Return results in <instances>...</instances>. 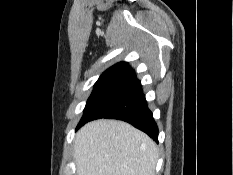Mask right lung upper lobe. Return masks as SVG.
<instances>
[{
    "instance_id": "right-lung-upper-lobe-1",
    "label": "right lung upper lobe",
    "mask_w": 233,
    "mask_h": 175,
    "mask_svg": "<svg viewBox=\"0 0 233 175\" xmlns=\"http://www.w3.org/2000/svg\"><path fill=\"white\" fill-rule=\"evenodd\" d=\"M106 77H120L137 80L133 69L126 62L117 63L100 76V78Z\"/></svg>"
}]
</instances>
